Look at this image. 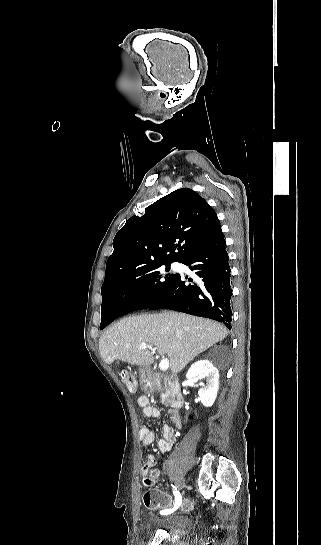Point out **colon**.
I'll list each match as a JSON object with an SVG mask.
<instances>
[{"label": "colon", "instance_id": "colon-1", "mask_svg": "<svg viewBox=\"0 0 321 545\" xmlns=\"http://www.w3.org/2000/svg\"><path fill=\"white\" fill-rule=\"evenodd\" d=\"M118 373L126 387L130 391H135L136 382L131 372L125 368H120ZM144 483L146 485H150L151 481L149 478H144ZM143 502L147 508L161 509L163 511L168 510L174 503L173 499L169 495L159 490L147 491L143 496ZM191 506L190 501L184 500L181 503L180 508L182 510H189Z\"/></svg>", "mask_w": 321, "mask_h": 545}]
</instances>
